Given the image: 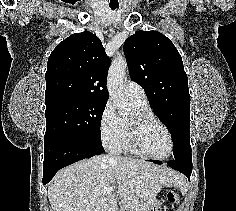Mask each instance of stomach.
<instances>
[{
  "label": "stomach",
  "mask_w": 236,
  "mask_h": 211,
  "mask_svg": "<svg viewBox=\"0 0 236 211\" xmlns=\"http://www.w3.org/2000/svg\"><path fill=\"white\" fill-rule=\"evenodd\" d=\"M147 211H161L160 203L157 201V199L152 202L151 206L147 209Z\"/></svg>",
  "instance_id": "obj_1"
}]
</instances>
